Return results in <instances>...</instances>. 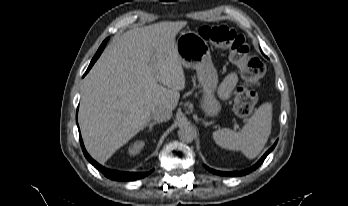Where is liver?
I'll return each mask as SVG.
<instances>
[{
	"mask_svg": "<svg viewBox=\"0 0 348 206\" xmlns=\"http://www.w3.org/2000/svg\"><path fill=\"white\" fill-rule=\"evenodd\" d=\"M186 21L130 29L104 50L82 86L79 124L85 147L105 163L149 122L157 107L174 110L185 75L175 47Z\"/></svg>",
	"mask_w": 348,
	"mask_h": 206,
	"instance_id": "6515ba94",
	"label": "liver"
}]
</instances>
